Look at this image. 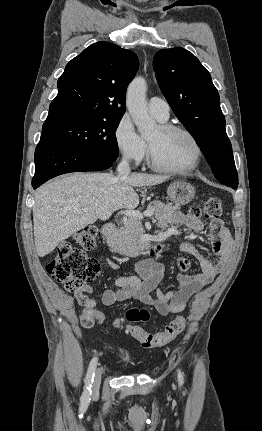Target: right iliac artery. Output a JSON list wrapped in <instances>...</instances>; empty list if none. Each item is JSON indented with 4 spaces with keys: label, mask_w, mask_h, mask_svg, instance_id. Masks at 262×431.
Returning a JSON list of instances; mask_svg holds the SVG:
<instances>
[{
    "label": "right iliac artery",
    "mask_w": 262,
    "mask_h": 431,
    "mask_svg": "<svg viewBox=\"0 0 262 431\" xmlns=\"http://www.w3.org/2000/svg\"><path fill=\"white\" fill-rule=\"evenodd\" d=\"M96 365H97V358L94 357L89 364V368L85 378V389L81 398L82 400H85V401L90 400L91 388H92V383L94 381Z\"/></svg>",
    "instance_id": "82829eb1"
}]
</instances>
